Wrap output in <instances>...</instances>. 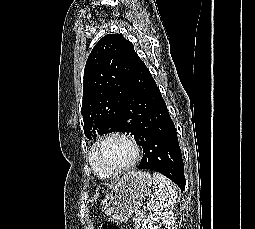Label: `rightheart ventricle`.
<instances>
[{
	"label": "right heart ventricle",
	"instance_id": "right-heart-ventricle-1",
	"mask_svg": "<svg viewBox=\"0 0 255 229\" xmlns=\"http://www.w3.org/2000/svg\"><path fill=\"white\" fill-rule=\"evenodd\" d=\"M88 161H89V164H90L92 170L98 177L103 178V179L111 178V176H109L100 166H98L96 163L92 162L90 152L88 155Z\"/></svg>",
	"mask_w": 255,
	"mask_h": 229
}]
</instances>
